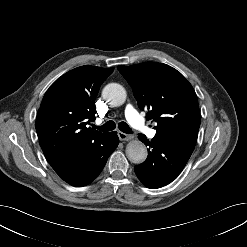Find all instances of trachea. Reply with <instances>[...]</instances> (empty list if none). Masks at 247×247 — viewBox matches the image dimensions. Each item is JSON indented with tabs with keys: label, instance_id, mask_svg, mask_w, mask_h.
Returning <instances> with one entry per match:
<instances>
[{
	"label": "trachea",
	"instance_id": "trachea-1",
	"mask_svg": "<svg viewBox=\"0 0 247 247\" xmlns=\"http://www.w3.org/2000/svg\"><path fill=\"white\" fill-rule=\"evenodd\" d=\"M96 127V126H95ZM116 127V124L114 121H107L104 125H102L101 127H96V129L103 131V132H107V131H112L114 130ZM118 128L126 133V134H130L132 133V130L130 129V127L128 126V124L124 121L120 122L118 124Z\"/></svg>",
	"mask_w": 247,
	"mask_h": 247
}]
</instances>
